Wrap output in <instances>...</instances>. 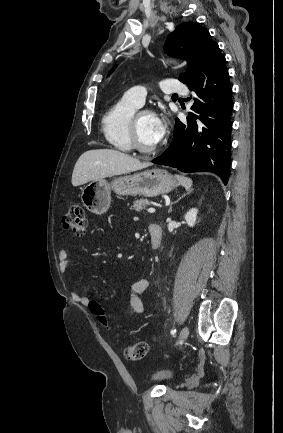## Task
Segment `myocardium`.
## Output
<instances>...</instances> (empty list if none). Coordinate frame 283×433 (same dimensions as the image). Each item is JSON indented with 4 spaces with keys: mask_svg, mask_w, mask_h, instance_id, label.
Masks as SVG:
<instances>
[{
    "mask_svg": "<svg viewBox=\"0 0 283 433\" xmlns=\"http://www.w3.org/2000/svg\"><path fill=\"white\" fill-rule=\"evenodd\" d=\"M143 114H152L153 115V112L150 110H141V111H139L133 115L132 120H131V124H130V137H131V143H132L131 148L142 155H150V154L155 155V154H158L160 152V150L148 151V150L144 149L143 145L139 139L138 122H139L140 116Z\"/></svg>",
    "mask_w": 283,
    "mask_h": 433,
    "instance_id": "myocardium-1",
    "label": "myocardium"
}]
</instances>
